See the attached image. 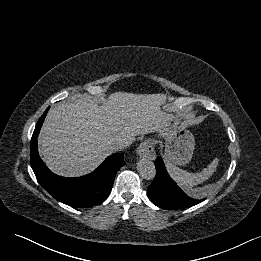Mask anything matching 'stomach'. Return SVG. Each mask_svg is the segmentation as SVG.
I'll return each mask as SVG.
<instances>
[{
  "mask_svg": "<svg viewBox=\"0 0 261 261\" xmlns=\"http://www.w3.org/2000/svg\"><path fill=\"white\" fill-rule=\"evenodd\" d=\"M157 133L158 137L164 139V158L167 162L185 165L191 160L195 139L179 117L170 114V118Z\"/></svg>",
  "mask_w": 261,
  "mask_h": 261,
  "instance_id": "stomach-1",
  "label": "stomach"
}]
</instances>
